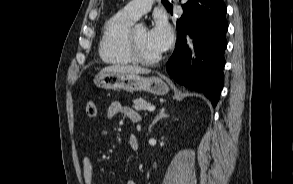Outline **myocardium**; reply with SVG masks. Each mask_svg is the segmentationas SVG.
I'll return each mask as SVG.
<instances>
[{"label": "myocardium", "instance_id": "obj_1", "mask_svg": "<svg viewBox=\"0 0 293 184\" xmlns=\"http://www.w3.org/2000/svg\"><path fill=\"white\" fill-rule=\"evenodd\" d=\"M135 28H131L129 34H128V50L130 53V56L132 57L133 61L143 64V65H154L158 63L162 56L159 54L156 57L153 58H145L143 57L137 47L136 40H135Z\"/></svg>", "mask_w": 293, "mask_h": 184}]
</instances>
